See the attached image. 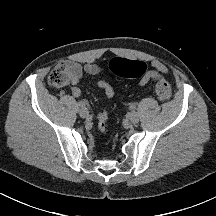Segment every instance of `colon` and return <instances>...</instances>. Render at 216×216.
Masks as SVG:
<instances>
[{"label":"colon","mask_w":216,"mask_h":216,"mask_svg":"<svg viewBox=\"0 0 216 216\" xmlns=\"http://www.w3.org/2000/svg\"><path fill=\"white\" fill-rule=\"evenodd\" d=\"M109 69L115 75L121 77H140L146 71V65L142 61H131L124 58H114L109 63ZM69 80L68 69L64 63L57 65L49 74L48 83L60 88L67 85ZM155 92L160 100H168L171 97V87L163 78L158 79ZM98 128L106 132L109 125V112L104 109L97 117Z\"/></svg>","instance_id":"colon-1"}]
</instances>
